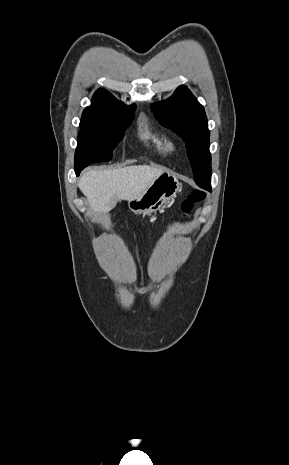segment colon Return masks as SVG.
Here are the masks:
<instances>
[{"mask_svg": "<svg viewBox=\"0 0 289 465\" xmlns=\"http://www.w3.org/2000/svg\"><path fill=\"white\" fill-rule=\"evenodd\" d=\"M206 192L204 190H193L181 203V210L184 216L189 215L195 205L204 200Z\"/></svg>", "mask_w": 289, "mask_h": 465, "instance_id": "1", "label": "colon"}]
</instances>
